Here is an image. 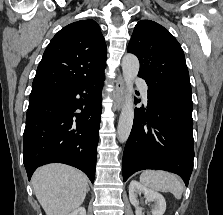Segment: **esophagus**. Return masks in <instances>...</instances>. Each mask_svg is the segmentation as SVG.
<instances>
[{"instance_id":"34e87169","label":"esophagus","mask_w":223,"mask_h":215,"mask_svg":"<svg viewBox=\"0 0 223 215\" xmlns=\"http://www.w3.org/2000/svg\"><path fill=\"white\" fill-rule=\"evenodd\" d=\"M124 80L123 77L120 75L116 80V89L113 95L115 107L117 110H120L124 103Z\"/></svg>"}]
</instances>
